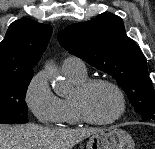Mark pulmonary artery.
Segmentation results:
<instances>
[{
    "mask_svg": "<svg viewBox=\"0 0 155 149\" xmlns=\"http://www.w3.org/2000/svg\"><path fill=\"white\" fill-rule=\"evenodd\" d=\"M62 70L65 73L85 74V63L78 57L68 56L62 62Z\"/></svg>",
    "mask_w": 155,
    "mask_h": 149,
    "instance_id": "e3ab8cb5",
    "label": "pulmonary artery"
}]
</instances>
